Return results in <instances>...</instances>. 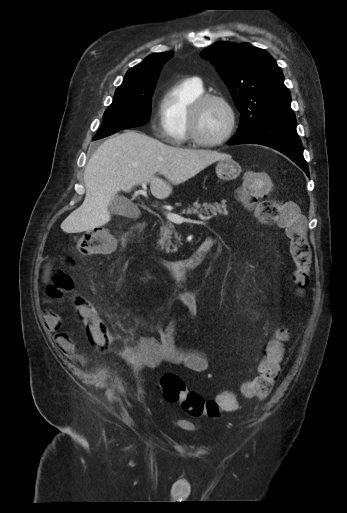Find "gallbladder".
<instances>
[{
	"label": "gallbladder",
	"instance_id": "bac80fb5",
	"mask_svg": "<svg viewBox=\"0 0 347 513\" xmlns=\"http://www.w3.org/2000/svg\"><path fill=\"white\" fill-rule=\"evenodd\" d=\"M109 210L115 215L129 218H134L139 215L137 205L123 196H115L109 205Z\"/></svg>",
	"mask_w": 347,
	"mask_h": 513
}]
</instances>
